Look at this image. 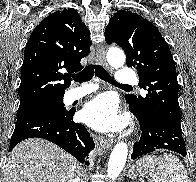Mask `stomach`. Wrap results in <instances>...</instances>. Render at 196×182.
Here are the masks:
<instances>
[{"mask_svg":"<svg viewBox=\"0 0 196 182\" xmlns=\"http://www.w3.org/2000/svg\"><path fill=\"white\" fill-rule=\"evenodd\" d=\"M142 171V168L140 170L136 167H133L132 169L129 170L128 175L130 178L134 179L136 176Z\"/></svg>","mask_w":196,"mask_h":182,"instance_id":"stomach-1","label":"stomach"}]
</instances>
